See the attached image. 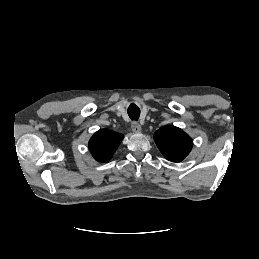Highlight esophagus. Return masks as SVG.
<instances>
[{
    "mask_svg": "<svg viewBox=\"0 0 259 259\" xmlns=\"http://www.w3.org/2000/svg\"><path fill=\"white\" fill-rule=\"evenodd\" d=\"M131 129L134 133H140L141 132V126L137 122H133L131 125Z\"/></svg>",
    "mask_w": 259,
    "mask_h": 259,
    "instance_id": "esophagus-1",
    "label": "esophagus"
}]
</instances>
